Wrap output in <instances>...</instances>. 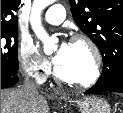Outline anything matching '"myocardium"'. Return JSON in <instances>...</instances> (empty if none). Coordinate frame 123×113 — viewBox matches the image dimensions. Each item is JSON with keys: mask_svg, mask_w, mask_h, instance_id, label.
Segmentation results:
<instances>
[{"mask_svg": "<svg viewBox=\"0 0 123 113\" xmlns=\"http://www.w3.org/2000/svg\"><path fill=\"white\" fill-rule=\"evenodd\" d=\"M70 42L71 44L81 43L88 48L92 57V72L90 76L84 80H74L61 75L58 67L55 66L53 71L55 79L61 83L74 87H89L94 85L101 75L102 55L100 49L98 48L96 43L85 34L74 35Z\"/></svg>", "mask_w": 123, "mask_h": 113, "instance_id": "obj_1", "label": "myocardium"}]
</instances>
